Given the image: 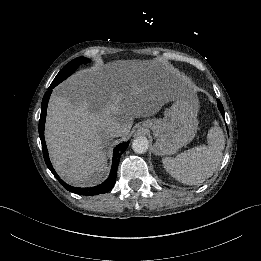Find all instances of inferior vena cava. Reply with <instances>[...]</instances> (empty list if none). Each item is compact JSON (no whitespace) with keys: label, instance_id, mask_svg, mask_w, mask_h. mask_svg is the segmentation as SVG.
Here are the masks:
<instances>
[{"label":"inferior vena cava","instance_id":"602c4592","mask_svg":"<svg viewBox=\"0 0 261 261\" xmlns=\"http://www.w3.org/2000/svg\"><path fill=\"white\" fill-rule=\"evenodd\" d=\"M108 132L113 136V137H119L121 136L122 133V127L120 124L114 123L112 126L108 128Z\"/></svg>","mask_w":261,"mask_h":261}]
</instances>
